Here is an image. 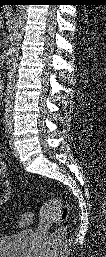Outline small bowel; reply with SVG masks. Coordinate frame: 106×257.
<instances>
[{
    "label": "small bowel",
    "mask_w": 106,
    "mask_h": 257,
    "mask_svg": "<svg viewBox=\"0 0 106 257\" xmlns=\"http://www.w3.org/2000/svg\"><path fill=\"white\" fill-rule=\"evenodd\" d=\"M7 166L4 161H0L1 191L0 202L3 204L9 197L12 190V183L7 179Z\"/></svg>",
    "instance_id": "1"
}]
</instances>
